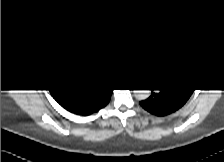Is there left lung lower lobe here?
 Wrapping results in <instances>:
<instances>
[{
	"label": "left lung lower lobe",
	"instance_id": "left-lung-lower-lobe-1",
	"mask_svg": "<svg viewBox=\"0 0 224 162\" xmlns=\"http://www.w3.org/2000/svg\"><path fill=\"white\" fill-rule=\"evenodd\" d=\"M192 92H186L182 87L166 86L159 94L152 95L140 105L148 112L157 116H165L181 108Z\"/></svg>",
	"mask_w": 224,
	"mask_h": 162
}]
</instances>
